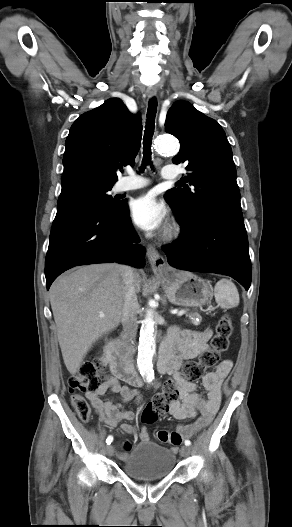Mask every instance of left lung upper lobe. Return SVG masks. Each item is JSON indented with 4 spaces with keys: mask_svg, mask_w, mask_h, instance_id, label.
Listing matches in <instances>:
<instances>
[{
    "mask_svg": "<svg viewBox=\"0 0 292 527\" xmlns=\"http://www.w3.org/2000/svg\"><path fill=\"white\" fill-rule=\"evenodd\" d=\"M165 130L180 141L172 161L187 165L183 181L193 186L183 184V189L173 188L165 195L179 224L211 213L242 215L232 150L218 122L178 101L167 113Z\"/></svg>",
    "mask_w": 292,
    "mask_h": 527,
    "instance_id": "left-lung-upper-lobe-1",
    "label": "left lung upper lobe"
}]
</instances>
